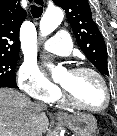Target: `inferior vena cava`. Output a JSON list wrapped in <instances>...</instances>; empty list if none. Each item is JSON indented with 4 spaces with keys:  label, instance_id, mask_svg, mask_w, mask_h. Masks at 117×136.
<instances>
[{
    "label": "inferior vena cava",
    "instance_id": "obj_1",
    "mask_svg": "<svg viewBox=\"0 0 117 136\" xmlns=\"http://www.w3.org/2000/svg\"><path fill=\"white\" fill-rule=\"evenodd\" d=\"M35 106L40 110H45L46 109V105L43 104V103H36Z\"/></svg>",
    "mask_w": 117,
    "mask_h": 136
}]
</instances>
